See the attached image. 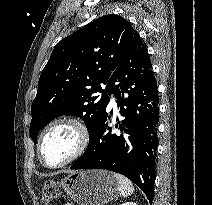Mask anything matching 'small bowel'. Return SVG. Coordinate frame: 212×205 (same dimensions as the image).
I'll return each mask as SVG.
<instances>
[{"mask_svg": "<svg viewBox=\"0 0 212 205\" xmlns=\"http://www.w3.org/2000/svg\"><path fill=\"white\" fill-rule=\"evenodd\" d=\"M66 205H74V204H70V203H69V204H66Z\"/></svg>", "mask_w": 212, "mask_h": 205, "instance_id": "c3829d8e", "label": "small bowel"}]
</instances>
